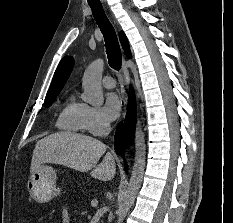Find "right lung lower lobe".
Returning a JSON list of instances; mask_svg holds the SVG:
<instances>
[{
  "mask_svg": "<svg viewBox=\"0 0 233 223\" xmlns=\"http://www.w3.org/2000/svg\"><path fill=\"white\" fill-rule=\"evenodd\" d=\"M135 117H136V106H135V97L133 92H130L128 112L126 115L125 123L118 125L116 134H115V149L116 152L123 156L124 148L129 145L134 136L135 128ZM127 170V166L125 165Z\"/></svg>",
  "mask_w": 233,
  "mask_h": 223,
  "instance_id": "obj_1",
  "label": "right lung lower lobe"
}]
</instances>
